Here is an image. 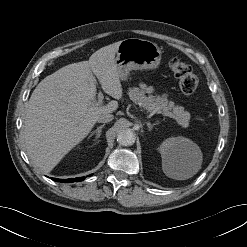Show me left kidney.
Instances as JSON below:
<instances>
[{
	"mask_svg": "<svg viewBox=\"0 0 247 247\" xmlns=\"http://www.w3.org/2000/svg\"><path fill=\"white\" fill-rule=\"evenodd\" d=\"M162 161L174 165L180 158L188 159L197 152L198 147L191 140L184 137L166 139L158 148Z\"/></svg>",
	"mask_w": 247,
	"mask_h": 247,
	"instance_id": "obj_1",
	"label": "left kidney"
}]
</instances>
